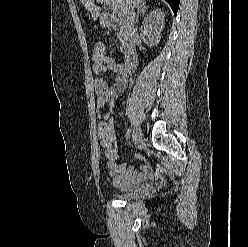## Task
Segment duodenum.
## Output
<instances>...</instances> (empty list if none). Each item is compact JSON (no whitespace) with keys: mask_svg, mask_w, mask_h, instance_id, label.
Instances as JSON below:
<instances>
[{"mask_svg":"<svg viewBox=\"0 0 248 247\" xmlns=\"http://www.w3.org/2000/svg\"><path fill=\"white\" fill-rule=\"evenodd\" d=\"M102 19L108 26L120 29L125 38V70H134L138 64V53L136 49V39L132 37L129 32L130 25L125 21L116 23L114 17L109 13H103Z\"/></svg>","mask_w":248,"mask_h":247,"instance_id":"duodenum-1","label":"duodenum"}]
</instances>
